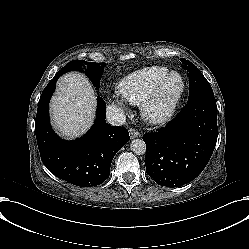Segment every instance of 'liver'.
I'll list each match as a JSON object with an SVG mask.
<instances>
[{
  "label": "liver",
  "mask_w": 249,
  "mask_h": 249,
  "mask_svg": "<svg viewBox=\"0 0 249 249\" xmlns=\"http://www.w3.org/2000/svg\"><path fill=\"white\" fill-rule=\"evenodd\" d=\"M97 98L89 80L81 73H68L57 82L50 102L52 124L66 139L85 134L94 123Z\"/></svg>",
  "instance_id": "liver-1"
}]
</instances>
